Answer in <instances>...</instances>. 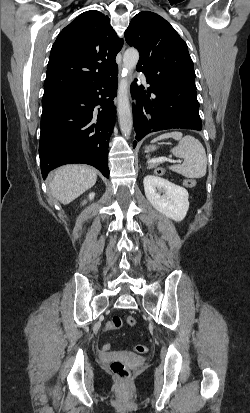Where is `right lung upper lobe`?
<instances>
[{"label":"right lung upper lobe","mask_w":250,"mask_h":413,"mask_svg":"<svg viewBox=\"0 0 250 413\" xmlns=\"http://www.w3.org/2000/svg\"><path fill=\"white\" fill-rule=\"evenodd\" d=\"M123 46L99 11L82 13L58 35L52 46L44 95L87 88L118 69L115 62Z\"/></svg>","instance_id":"obj_1"}]
</instances>
